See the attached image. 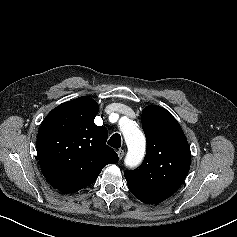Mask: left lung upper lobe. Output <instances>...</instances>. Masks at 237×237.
I'll return each mask as SVG.
<instances>
[{
  "label": "left lung upper lobe",
  "mask_w": 237,
  "mask_h": 237,
  "mask_svg": "<svg viewBox=\"0 0 237 237\" xmlns=\"http://www.w3.org/2000/svg\"><path fill=\"white\" fill-rule=\"evenodd\" d=\"M147 150L141 166L125 171L128 188L146 204L172 196L188 174L191 153L177 120L164 108L149 105L142 112Z\"/></svg>",
  "instance_id": "1"
}]
</instances>
